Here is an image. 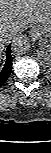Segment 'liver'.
<instances>
[{"label": "liver", "instance_id": "obj_1", "mask_svg": "<svg viewBox=\"0 0 51 153\" xmlns=\"http://www.w3.org/2000/svg\"><path fill=\"white\" fill-rule=\"evenodd\" d=\"M33 23H51V0H0V51Z\"/></svg>", "mask_w": 51, "mask_h": 153}]
</instances>
